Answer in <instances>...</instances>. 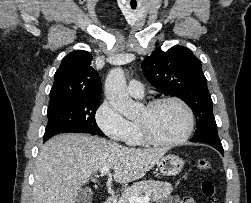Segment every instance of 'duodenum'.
Segmentation results:
<instances>
[{"label":"duodenum","instance_id":"obj_1","mask_svg":"<svg viewBox=\"0 0 251 203\" xmlns=\"http://www.w3.org/2000/svg\"><path fill=\"white\" fill-rule=\"evenodd\" d=\"M117 202V198L115 195H110L105 201L104 203H116Z\"/></svg>","mask_w":251,"mask_h":203}]
</instances>
